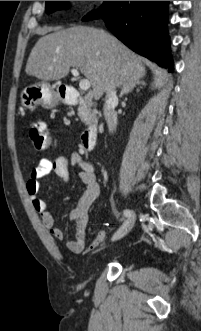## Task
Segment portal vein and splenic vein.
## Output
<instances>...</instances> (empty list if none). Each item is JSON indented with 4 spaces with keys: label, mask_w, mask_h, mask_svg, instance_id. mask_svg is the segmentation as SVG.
I'll return each instance as SVG.
<instances>
[{
    "label": "portal vein and splenic vein",
    "mask_w": 201,
    "mask_h": 331,
    "mask_svg": "<svg viewBox=\"0 0 201 331\" xmlns=\"http://www.w3.org/2000/svg\"><path fill=\"white\" fill-rule=\"evenodd\" d=\"M71 73L74 77H79V71L77 69H72ZM90 86H91V84L88 79H82L79 82V87L83 91L89 90Z\"/></svg>",
    "instance_id": "18ae733b"
}]
</instances>
